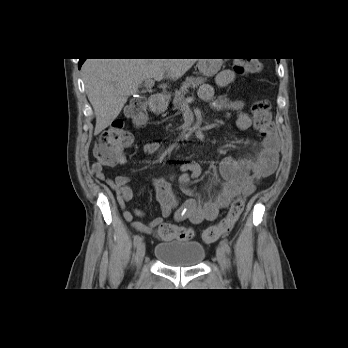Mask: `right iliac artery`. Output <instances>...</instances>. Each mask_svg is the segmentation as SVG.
<instances>
[{
	"mask_svg": "<svg viewBox=\"0 0 348 348\" xmlns=\"http://www.w3.org/2000/svg\"><path fill=\"white\" fill-rule=\"evenodd\" d=\"M140 242H141V237L139 235H136L134 237V246L137 247Z\"/></svg>",
	"mask_w": 348,
	"mask_h": 348,
	"instance_id": "1",
	"label": "right iliac artery"
}]
</instances>
